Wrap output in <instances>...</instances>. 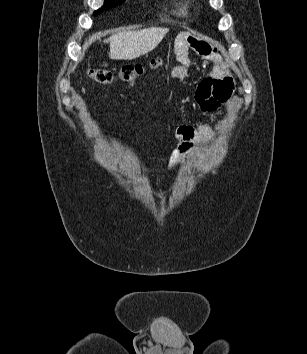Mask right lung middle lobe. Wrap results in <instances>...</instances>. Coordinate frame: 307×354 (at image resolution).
<instances>
[{"label":"right lung middle lobe","mask_w":307,"mask_h":354,"mask_svg":"<svg viewBox=\"0 0 307 354\" xmlns=\"http://www.w3.org/2000/svg\"><path fill=\"white\" fill-rule=\"evenodd\" d=\"M125 0H105L104 5L102 6V8L96 10L93 15H97L101 12H103V10H108L110 8L116 7L118 5H120L122 2H124Z\"/></svg>","instance_id":"obj_1"}]
</instances>
